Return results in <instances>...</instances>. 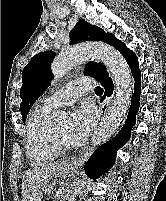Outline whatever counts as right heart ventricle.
I'll use <instances>...</instances> for the list:
<instances>
[{"label":"right heart ventricle","instance_id":"1","mask_svg":"<svg viewBox=\"0 0 166 201\" xmlns=\"http://www.w3.org/2000/svg\"><path fill=\"white\" fill-rule=\"evenodd\" d=\"M52 108L45 105L34 109L27 123L26 151L32 165L55 160L60 150L52 138Z\"/></svg>","mask_w":166,"mask_h":201}]
</instances>
